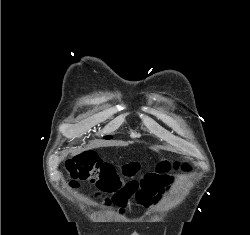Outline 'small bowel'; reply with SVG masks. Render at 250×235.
Here are the masks:
<instances>
[{"label":"small bowel","instance_id":"c3829d8e","mask_svg":"<svg viewBox=\"0 0 250 235\" xmlns=\"http://www.w3.org/2000/svg\"><path fill=\"white\" fill-rule=\"evenodd\" d=\"M165 186H156L155 188H142L135 196L134 200L138 206L143 209H148L155 204L162 196Z\"/></svg>","mask_w":250,"mask_h":235}]
</instances>
